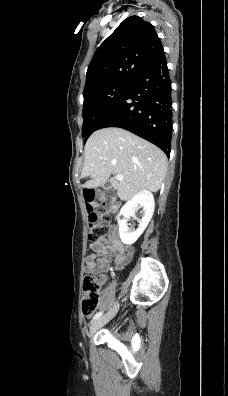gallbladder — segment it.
Listing matches in <instances>:
<instances>
[{
  "label": "gallbladder",
  "mask_w": 228,
  "mask_h": 396,
  "mask_svg": "<svg viewBox=\"0 0 228 396\" xmlns=\"http://www.w3.org/2000/svg\"><path fill=\"white\" fill-rule=\"evenodd\" d=\"M102 187L104 189H106V190H110L111 189V186L109 184H104Z\"/></svg>",
  "instance_id": "1"
}]
</instances>
